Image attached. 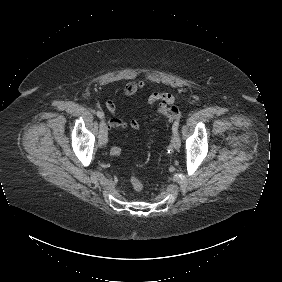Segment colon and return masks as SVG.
<instances>
[{"label":"colon","mask_w":282,"mask_h":282,"mask_svg":"<svg viewBox=\"0 0 282 282\" xmlns=\"http://www.w3.org/2000/svg\"><path fill=\"white\" fill-rule=\"evenodd\" d=\"M163 114L165 117L169 118V120L173 123H176L181 118V111L178 107L167 105L163 109ZM122 154V149L117 146H113L110 149V155L114 157H118ZM131 185L136 192H141L143 190V183L140 178L136 174H132L131 178Z\"/></svg>","instance_id":"5ec220e1"}]
</instances>
